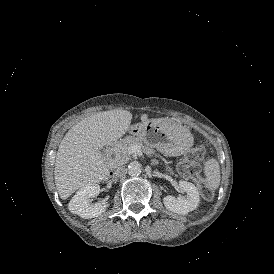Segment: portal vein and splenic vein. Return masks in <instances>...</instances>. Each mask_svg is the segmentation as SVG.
Instances as JSON below:
<instances>
[{
    "mask_svg": "<svg viewBox=\"0 0 274 274\" xmlns=\"http://www.w3.org/2000/svg\"><path fill=\"white\" fill-rule=\"evenodd\" d=\"M129 151L131 153H137L139 156H142V152L140 151V146L138 145H132L131 147H129Z\"/></svg>",
    "mask_w": 274,
    "mask_h": 274,
    "instance_id": "18ae733b",
    "label": "portal vein and splenic vein"
}]
</instances>
